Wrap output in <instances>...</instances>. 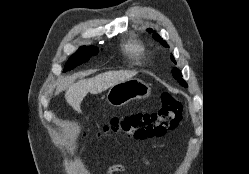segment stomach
<instances>
[{"mask_svg":"<svg viewBox=\"0 0 249 174\" xmlns=\"http://www.w3.org/2000/svg\"><path fill=\"white\" fill-rule=\"evenodd\" d=\"M151 88L140 79H129L110 87L107 101L110 105L120 107L131 100L143 99L150 95Z\"/></svg>","mask_w":249,"mask_h":174,"instance_id":"stomach-1","label":"stomach"}]
</instances>
